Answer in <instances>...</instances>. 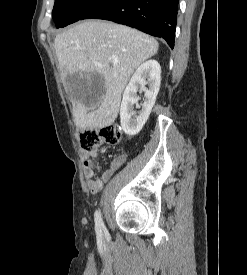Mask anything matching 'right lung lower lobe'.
Segmentation results:
<instances>
[{
  "label": "right lung lower lobe",
  "instance_id": "obj_1",
  "mask_svg": "<svg viewBox=\"0 0 247 275\" xmlns=\"http://www.w3.org/2000/svg\"><path fill=\"white\" fill-rule=\"evenodd\" d=\"M179 0H99L80 20L104 19L163 37L174 48Z\"/></svg>",
  "mask_w": 247,
  "mask_h": 275
}]
</instances>
